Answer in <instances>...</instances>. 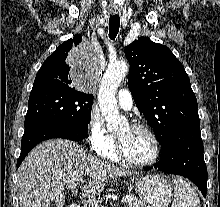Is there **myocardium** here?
Returning <instances> with one entry per match:
<instances>
[{
  "label": "myocardium",
  "instance_id": "myocardium-1",
  "mask_svg": "<svg viewBox=\"0 0 220 207\" xmlns=\"http://www.w3.org/2000/svg\"><path fill=\"white\" fill-rule=\"evenodd\" d=\"M130 127L134 128V129L142 130L149 135V137L151 138V140L153 142V146H154L153 156L151 159L144 161V162H138V161L131 160L126 155L124 148L122 146V143L116 137L115 152H116L118 159L129 166L140 167V168L148 167V166L155 164L160 156V150H161L160 143H159V140H158L155 132L148 125L142 124V123H133L130 125Z\"/></svg>",
  "mask_w": 220,
  "mask_h": 207
}]
</instances>
